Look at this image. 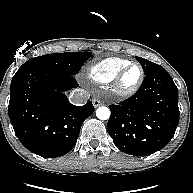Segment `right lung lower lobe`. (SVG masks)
Here are the masks:
<instances>
[{
    "label": "right lung lower lobe",
    "instance_id": "1",
    "mask_svg": "<svg viewBox=\"0 0 193 193\" xmlns=\"http://www.w3.org/2000/svg\"><path fill=\"white\" fill-rule=\"evenodd\" d=\"M73 75L48 71L17 72L11 81L9 117L20 142L32 153L54 158L76 144L91 101L71 104L64 92L78 87Z\"/></svg>",
    "mask_w": 193,
    "mask_h": 193
}]
</instances>
